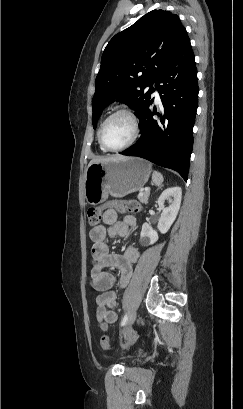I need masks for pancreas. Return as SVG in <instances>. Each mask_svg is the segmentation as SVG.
<instances>
[{"mask_svg":"<svg viewBox=\"0 0 243 409\" xmlns=\"http://www.w3.org/2000/svg\"><path fill=\"white\" fill-rule=\"evenodd\" d=\"M149 194H150L149 191L142 192L141 194L138 195V200L141 203H147Z\"/></svg>","mask_w":243,"mask_h":409,"instance_id":"cf45deb5","label":"pancreas"}]
</instances>
